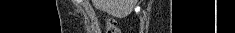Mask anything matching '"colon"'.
<instances>
[{"label":"colon","instance_id":"obj_1","mask_svg":"<svg viewBox=\"0 0 235 33\" xmlns=\"http://www.w3.org/2000/svg\"><path fill=\"white\" fill-rule=\"evenodd\" d=\"M106 29L107 33H118V29L113 21H108Z\"/></svg>","mask_w":235,"mask_h":33}]
</instances>
